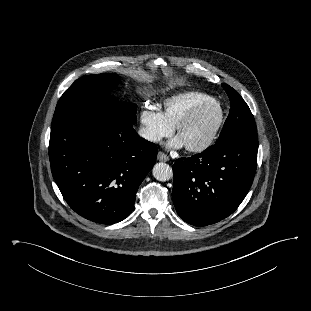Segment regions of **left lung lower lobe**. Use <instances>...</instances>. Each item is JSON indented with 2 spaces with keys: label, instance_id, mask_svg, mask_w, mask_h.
I'll return each instance as SVG.
<instances>
[{
  "label": "left lung lower lobe",
  "instance_id": "1",
  "mask_svg": "<svg viewBox=\"0 0 311 311\" xmlns=\"http://www.w3.org/2000/svg\"><path fill=\"white\" fill-rule=\"evenodd\" d=\"M257 152V138H236L177 159L173 202L178 215L199 227L232 214L252 185Z\"/></svg>",
  "mask_w": 311,
  "mask_h": 311
}]
</instances>
